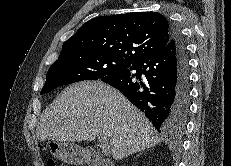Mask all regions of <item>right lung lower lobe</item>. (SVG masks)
Wrapping results in <instances>:
<instances>
[{
  "instance_id": "obj_1",
  "label": "right lung lower lobe",
  "mask_w": 231,
  "mask_h": 166,
  "mask_svg": "<svg viewBox=\"0 0 231 166\" xmlns=\"http://www.w3.org/2000/svg\"><path fill=\"white\" fill-rule=\"evenodd\" d=\"M100 80L125 95L159 132L172 135L184 130L190 100L189 65L184 39L174 25L165 48Z\"/></svg>"
}]
</instances>
